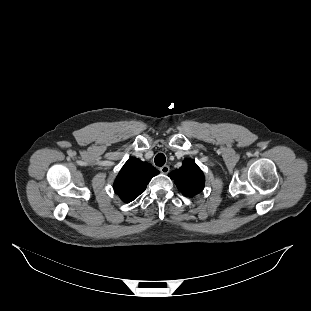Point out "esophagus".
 I'll list each match as a JSON object with an SVG mask.
<instances>
[{
	"instance_id": "1",
	"label": "esophagus",
	"mask_w": 311,
	"mask_h": 311,
	"mask_svg": "<svg viewBox=\"0 0 311 311\" xmlns=\"http://www.w3.org/2000/svg\"><path fill=\"white\" fill-rule=\"evenodd\" d=\"M170 170V167L168 165H164L160 168L161 173L167 174Z\"/></svg>"
}]
</instances>
